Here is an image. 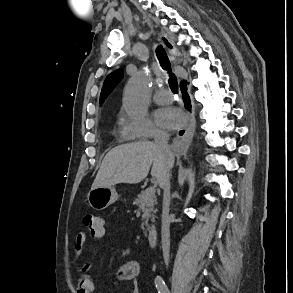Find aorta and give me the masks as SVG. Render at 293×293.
I'll return each instance as SVG.
<instances>
[{
    "label": "aorta",
    "mask_w": 293,
    "mask_h": 293,
    "mask_svg": "<svg viewBox=\"0 0 293 293\" xmlns=\"http://www.w3.org/2000/svg\"><path fill=\"white\" fill-rule=\"evenodd\" d=\"M150 81L151 76L146 71H140L129 80L124 93V106L130 114L143 116L146 113Z\"/></svg>",
    "instance_id": "aorta-1"
}]
</instances>
